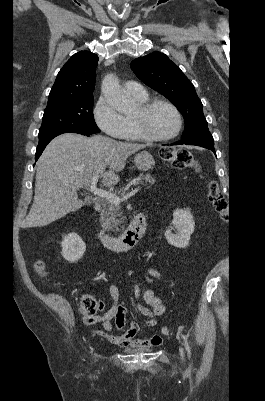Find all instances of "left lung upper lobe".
<instances>
[{"label": "left lung upper lobe", "mask_w": 265, "mask_h": 401, "mask_svg": "<svg viewBox=\"0 0 265 401\" xmlns=\"http://www.w3.org/2000/svg\"><path fill=\"white\" fill-rule=\"evenodd\" d=\"M130 67L140 80L168 98L181 112L185 121L181 139L209 131L194 85L165 54L154 52L137 58Z\"/></svg>", "instance_id": "obj_1"}]
</instances>
